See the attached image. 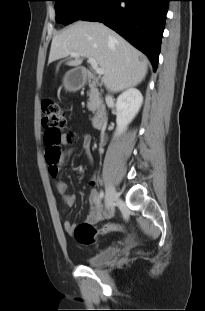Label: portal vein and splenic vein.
<instances>
[{
	"label": "portal vein and splenic vein",
	"instance_id": "18ae733b",
	"mask_svg": "<svg viewBox=\"0 0 205 311\" xmlns=\"http://www.w3.org/2000/svg\"><path fill=\"white\" fill-rule=\"evenodd\" d=\"M72 57H79L80 54L79 53H76V52H72L70 54ZM88 62L90 63V65L92 66V68L95 70V72L98 74V75H103L104 74V70L102 68H100L96 62L95 59L93 58H88Z\"/></svg>",
	"mask_w": 205,
	"mask_h": 311
}]
</instances>
